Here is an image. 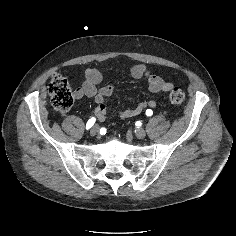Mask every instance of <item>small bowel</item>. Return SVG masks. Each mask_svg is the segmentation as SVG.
Returning <instances> with one entry per match:
<instances>
[{"instance_id": "obj_1", "label": "small bowel", "mask_w": 236, "mask_h": 236, "mask_svg": "<svg viewBox=\"0 0 236 236\" xmlns=\"http://www.w3.org/2000/svg\"><path fill=\"white\" fill-rule=\"evenodd\" d=\"M133 79H144L147 82L148 90L151 93L169 92L173 89L170 82L164 81L161 77L151 73L147 66L136 64L130 70ZM104 76L96 68H87L84 73L82 86L74 91V98L81 100L83 97L93 98L97 104L95 114L99 121L105 119L107 115L106 99L113 92V85L106 84L100 89L97 86L103 81ZM157 103L154 100L140 102L135 108L127 109L119 114L121 119H127L142 113L146 109L156 108Z\"/></svg>"}]
</instances>
